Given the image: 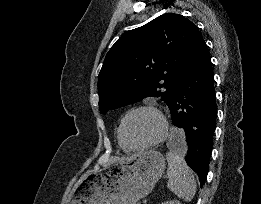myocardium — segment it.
<instances>
[{"label": "myocardium", "mask_w": 261, "mask_h": 204, "mask_svg": "<svg viewBox=\"0 0 261 204\" xmlns=\"http://www.w3.org/2000/svg\"><path fill=\"white\" fill-rule=\"evenodd\" d=\"M139 112H150L153 115H155V117L159 121L160 130H159L158 135L154 139L150 140L149 142L139 145V146H131V145H128L123 139V127L129 117H131L132 115L139 113ZM168 127H169V124H168L167 117L159 107H157L156 105H153V104H142V105H139V106H136V107L130 109L122 117V119L119 123V126H118L117 137H118V141H119L120 145L123 148H125L126 150L143 151V150H147V149L161 143L165 139V137L168 133Z\"/></svg>", "instance_id": "f54148a6"}]
</instances>
